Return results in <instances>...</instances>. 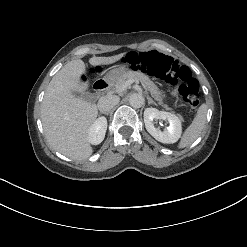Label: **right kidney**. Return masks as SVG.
<instances>
[{"label": "right kidney", "instance_id": "obj_1", "mask_svg": "<svg viewBox=\"0 0 247 247\" xmlns=\"http://www.w3.org/2000/svg\"><path fill=\"white\" fill-rule=\"evenodd\" d=\"M107 130V120L104 117H100L94 121L91 125L88 133V140L93 145L100 144L105 137Z\"/></svg>", "mask_w": 247, "mask_h": 247}]
</instances>
